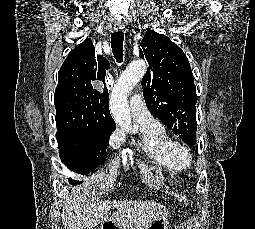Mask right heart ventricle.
Segmentation results:
<instances>
[{"mask_svg":"<svg viewBox=\"0 0 255 229\" xmlns=\"http://www.w3.org/2000/svg\"><path fill=\"white\" fill-rule=\"evenodd\" d=\"M141 137L138 143L139 152L151 163L167 171L178 172L187 167L174 159L167 151L171 143L163 125L158 122L155 127L139 125Z\"/></svg>","mask_w":255,"mask_h":229,"instance_id":"right-heart-ventricle-1","label":"right heart ventricle"}]
</instances>
